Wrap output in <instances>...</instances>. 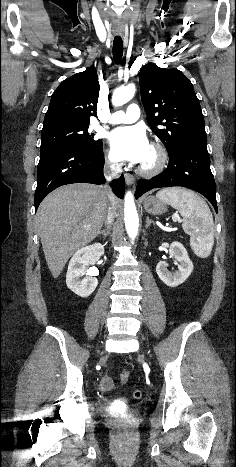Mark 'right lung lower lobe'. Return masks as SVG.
Instances as JSON below:
<instances>
[{
	"instance_id": "98d812e1",
	"label": "right lung lower lobe",
	"mask_w": 236,
	"mask_h": 467,
	"mask_svg": "<svg viewBox=\"0 0 236 467\" xmlns=\"http://www.w3.org/2000/svg\"><path fill=\"white\" fill-rule=\"evenodd\" d=\"M103 147L100 151H89L74 146H56L40 151L35 191V209L44 197L59 186L71 183L104 182ZM113 192L123 198L124 176L111 184Z\"/></svg>"
}]
</instances>
